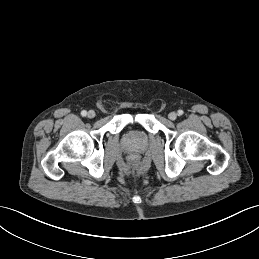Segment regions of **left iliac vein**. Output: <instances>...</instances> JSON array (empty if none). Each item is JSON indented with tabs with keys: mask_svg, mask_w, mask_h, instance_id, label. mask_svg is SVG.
<instances>
[{
	"mask_svg": "<svg viewBox=\"0 0 259 259\" xmlns=\"http://www.w3.org/2000/svg\"><path fill=\"white\" fill-rule=\"evenodd\" d=\"M177 118V114L175 113V112H171L170 114H169V119L170 120H175Z\"/></svg>",
	"mask_w": 259,
	"mask_h": 259,
	"instance_id": "4c4485c4",
	"label": "left iliac vein"
}]
</instances>
